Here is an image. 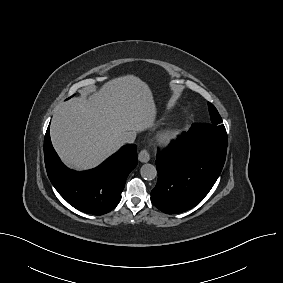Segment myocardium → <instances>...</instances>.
<instances>
[{"label": "myocardium", "mask_w": 283, "mask_h": 283, "mask_svg": "<svg viewBox=\"0 0 283 283\" xmlns=\"http://www.w3.org/2000/svg\"><path fill=\"white\" fill-rule=\"evenodd\" d=\"M178 131L175 128H166L159 133L158 139L161 143L167 144L176 139Z\"/></svg>", "instance_id": "f54148a6"}]
</instances>
